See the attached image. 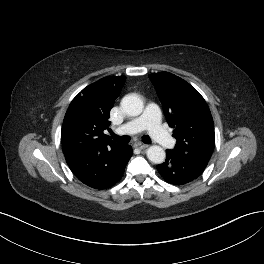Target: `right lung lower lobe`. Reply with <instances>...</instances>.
Instances as JSON below:
<instances>
[{"instance_id":"98d812e1","label":"right lung lower lobe","mask_w":264,"mask_h":264,"mask_svg":"<svg viewBox=\"0 0 264 264\" xmlns=\"http://www.w3.org/2000/svg\"><path fill=\"white\" fill-rule=\"evenodd\" d=\"M131 156V147L120 144L111 148L72 153L66 155L65 159L82 183L95 189H106L121 179Z\"/></svg>"}]
</instances>
